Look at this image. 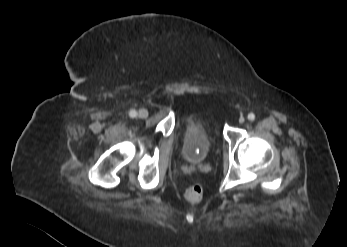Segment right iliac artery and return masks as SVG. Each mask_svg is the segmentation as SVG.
I'll list each match as a JSON object with an SVG mask.
<instances>
[{"mask_svg":"<svg viewBox=\"0 0 347 247\" xmlns=\"http://www.w3.org/2000/svg\"><path fill=\"white\" fill-rule=\"evenodd\" d=\"M136 115H137L136 110H135V109H131L130 112H129V116H130L131 118H134V117H136Z\"/></svg>","mask_w":347,"mask_h":247,"instance_id":"1","label":"right iliac artery"}]
</instances>
